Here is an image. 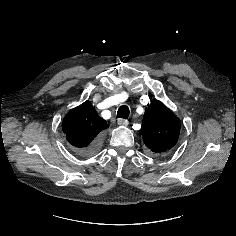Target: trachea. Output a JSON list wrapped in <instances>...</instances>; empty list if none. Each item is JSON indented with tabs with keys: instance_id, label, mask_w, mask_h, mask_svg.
Returning <instances> with one entry per match:
<instances>
[{
	"instance_id": "obj_1",
	"label": "trachea",
	"mask_w": 236,
	"mask_h": 236,
	"mask_svg": "<svg viewBox=\"0 0 236 236\" xmlns=\"http://www.w3.org/2000/svg\"><path fill=\"white\" fill-rule=\"evenodd\" d=\"M129 108L126 105H122L117 112V118L127 119L129 117Z\"/></svg>"
}]
</instances>
